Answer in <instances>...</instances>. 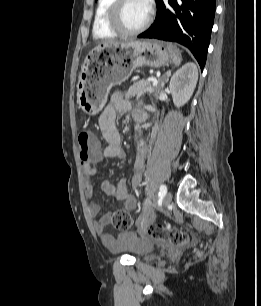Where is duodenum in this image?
Segmentation results:
<instances>
[{"instance_id":"obj_1","label":"duodenum","mask_w":261,"mask_h":306,"mask_svg":"<svg viewBox=\"0 0 261 306\" xmlns=\"http://www.w3.org/2000/svg\"><path fill=\"white\" fill-rule=\"evenodd\" d=\"M145 118H146L145 115H142V116L138 117L137 120H138L139 123H142L145 120Z\"/></svg>"}]
</instances>
